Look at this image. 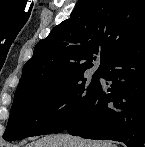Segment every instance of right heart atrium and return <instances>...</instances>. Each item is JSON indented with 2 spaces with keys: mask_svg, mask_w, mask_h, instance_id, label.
<instances>
[{
  "mask_svg": "<svg viewBox=\"0 0 145 147\" xmlns=\"http://www.w3.org/2000/svg\"><path fill=\"white\" fill-rule=\"evenodd\" d=\"M56 107H57V102L56 101L52 100V101L49 102V108L51 110L56 109Z\"/></svg>",
  "mask_w": 145,
  "mask_h": 147,
  "instance_id": "1",
  "label": "right heart atrium"
}]
</instances>
